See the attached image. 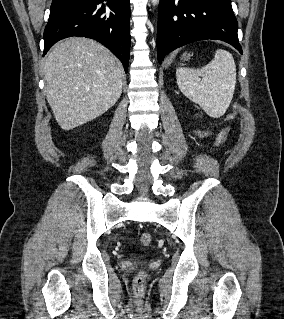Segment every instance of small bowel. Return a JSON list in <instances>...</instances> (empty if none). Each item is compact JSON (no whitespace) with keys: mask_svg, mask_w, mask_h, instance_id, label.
Returning a JSON list of instances; mask_svg holds the SVG:
<instances>
[{"mask_svg":"<svg viewBox=\"0 0 284 319\" xmlns=\"http://www.w3.org/2000/svg\"><path fill=\"white\" fill-rule=\"evenodd\" d=\"M199 136H201V137H206V136H208V131H200L199 133Z\"/></svg>","mask_w":284,"mask_h":319,"instance_id":"1","label":"small bowel"}]
</instances>
